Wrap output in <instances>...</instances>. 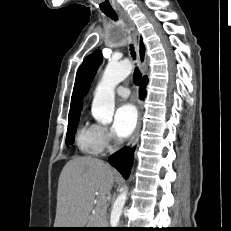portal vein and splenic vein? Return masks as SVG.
<instances>
[{
  "label": "portal vein and splenic vein",
  "mask_w": 231,
  "mask_h": 231,
  "mask_svg": "<svg viewBox=\"0 0 231 231\" xmlns=\"http://www.w3.org/2000/svg\"><path fill=\"white\" fill-rule=\"evenodd\" d=\"M106 199L102 198L98 200V205H102L103 203H105Z\"/></svg>",
  "instance_id": "1"
}]
</instances>
